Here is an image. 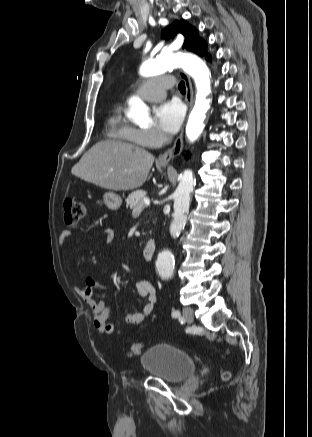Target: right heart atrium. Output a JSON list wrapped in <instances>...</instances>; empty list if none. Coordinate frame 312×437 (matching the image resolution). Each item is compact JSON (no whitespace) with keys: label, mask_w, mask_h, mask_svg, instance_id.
I'll return each instance as SVG.
<instances>
[{"label":"right heart atrium","mask_w":312,"mask_h":437,"mask_svg":"<svg viewBox=\"0 0 312 437\" xmlns=\"http://www.w3.org/2000/svg\"><path fill=\"white\" fill-rule=\"evenodd\" d=\"M135 132L139 142L144 146H157L164 140L162 134L155 129L136 130Z\"/></svg>","instance_id":"right-heart-atrium-1"}]
</instances>
